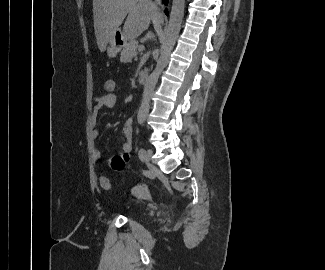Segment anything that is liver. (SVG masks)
<instances>
[{
	"label": "liver",
	"mask_w": 325,
	"mask_h": 270,
	"mask_svg": "<svg viewBox=\"0 0 325 270\" xmlns=\"http://www.w3.org/2000/svg\"><path fill=\"white\" fill-rule=\"evenodd\" d=\"M93 16L101 52L105 51L126 16L122 32L127 40H133L147 30L151 21L155 25L162 23V13L150 0H93Z\"/></svg>",
	"instance_id": "6515ba94"
}]
</instances>
